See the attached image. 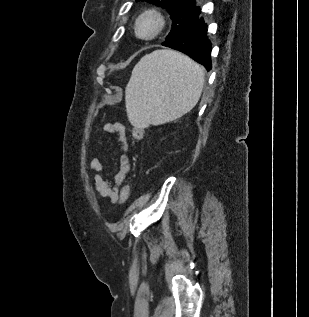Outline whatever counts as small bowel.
Here are the masks:
<instances>
[{
	"mask_svg": "<svg viewBox=\"0 0 309 317\" xmlns=\"http://www.w3.org/2000/svg\"><path fill=\"white\" fill-rule=\"evenodd\" d=\"M103 129L104 131L117 136L121 151L120 170L115 174L113 182H110L104 174L105 165L102 161L97 158L92 159L90 161L89 168L91 171L96 172L93 178V185L98 195L100 197L107 198L110 203L114 204L120 199L122 185L124 184L130 170L128 160L130 145L128 142L126 128L121 123L108 122L104 124Z\"/></svg>",
	"mask_w": 309,
	"mask_h": 317,
	"instance_id": "1",
	"label": "small bowel"
}]
</instances>
